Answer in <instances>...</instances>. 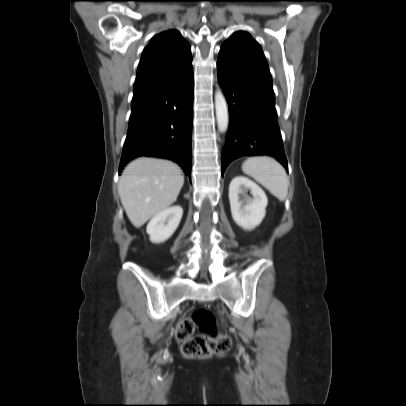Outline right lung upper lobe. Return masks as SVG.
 I'll use <instances>...</instances> for the list:
<instances>
[{
    "label": "right lung upper lobe",
    "mask_w": 406,
    "mask_h": 406,
    "mask_svg": "<svg viewBox=\"0 0 406 406\" xmlns=\"http://www.w3.org/2000/svg\"><path fill=\"white\" fill-rule=\"evenodd\" d=\"M192 69L190 46L177 30L154 36L143 50L132 101L165 88Z\"/></svg>",
    "instance_id": "cb5924a9"
}]
</instances>
